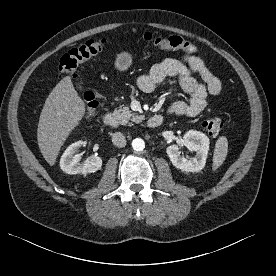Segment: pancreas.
<instances>
[{
  "mask_svg": "<svg viewBox=\"0 0 276 276\" xmlns=\"http://www.w3.org/2000/svg\"><path fill=\"white\" fill-rule=\"evenodd\" d=\"M114 115L120 120L121 124H131L130 121L140 123L143 120V116H138L133 111H130L128 106H124L120 109L114 110Z\"/></svg>",
  "mask_w": 276,
  "mask_h": 276,
  "instance_id": "obj_1",
  "label": "pancreas"
}]
</instances>
